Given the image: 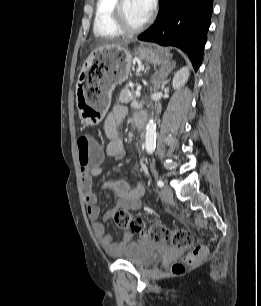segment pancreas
Segmentation results:
<instances>
[{"mask_svg":"<svg viewBox=\"0 0 261 306\" xmlns=\"http://www.w3.org/2000/svg\"><path fill=\"white\" fill-rule=\"evenodd\" d=\"M135 94L129 90V86H126L123 88L119 94V102L121 103H129L133 98Z\"/></svg>","mask_w":261,"mask_h":306,"instance_id":"obj_1","label":"pancreas"}]
</instances>
